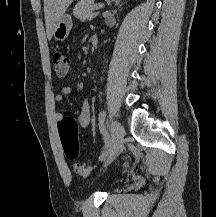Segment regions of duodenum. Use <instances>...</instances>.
Here are the masks:
<instances>
[{
  "label": "duodenum",
  "mask_w": 216,
  "mask_h": 217,
  "mask_svg": "<svg viewBox=\"0 0 216 217\" xmlns=\"http://www.w3.org/2000/svg\"><path fill=\"white\" fill-rule=\"evenodd\" d=\"M90 42H91V44H92L93 47H97L98 44H99V39H98L97 36H92L90 38Z\"/></svg>",
  "instance_id": "obj_1"
}]
</instances>
